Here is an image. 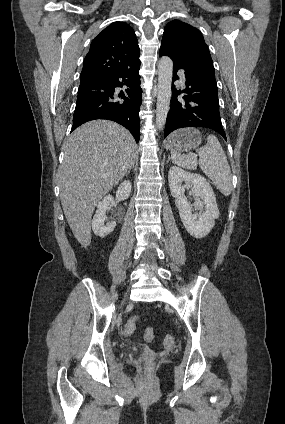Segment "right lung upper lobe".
I'll return each mask as SVG.
<instances>
[{
    "mask_svg": "<svg viewBox=\"0 0 285 424\" xmlns=\"http://www.w3.org/2000/svg\"><path fill=\"white\" fill-rule=\"evenodd\" d=\"M134 30L124 22L106 27L90 45L83 63L80 83L106 78L140 63Z\"/></svg>",
    "mask_w": 285,
    "mask_h": 424,
    "instance_id": "1",
    "label": "right lung upper lobe"
}]
</instances>
